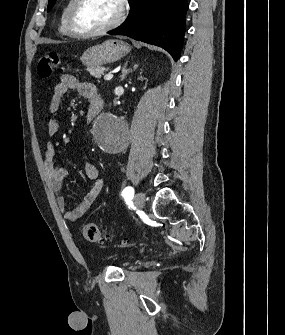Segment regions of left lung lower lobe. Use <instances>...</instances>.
<instances>
[{
	"mask_svg": "<svg viewBox=\"0 0 285 335\" xmlns=\"http://www.w3.org/2000/svg\"><path fill=\"white\" fill-rule=\"evenodd\" d=\"M129 5V16L110 34L160 46L177 61L186 28L187 0H129Z\"/></svg>",
	"mask_w": 285,
	"mask_h": 335,
	"instance_id": "left-lung-lower-lobe-1",
	"label": "left lung lower lobe"
}]
</instances>
